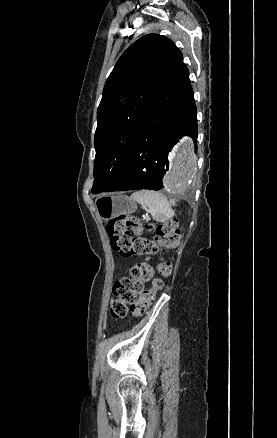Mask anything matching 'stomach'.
<instances>
[{
  "mask_svg": "<svg viewBox=\"0 0 277 438\" xmlns=\"http://www.w3.org/2000/svg\"><path fill=\"white\" fill-rule=\"evenodd\" d=\"M95 206L98 215L104 221L131 214L137 208L136 202L126 195H103L96 199Z\"/></svg>",
  "mask_w": 277,
  "mask_h": 438,
  "instance_id": "0dacf381",
  "label": "stomach"
}]
</instances>
